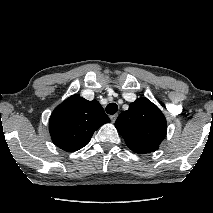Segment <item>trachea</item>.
Returning <instances> with one entry per match:
<instances>
[{
    "label": "trachea",
    "mask_w": 213,
    "mask_h": 213,
    "mask_svg": "<svg viewBox=\"0 0 213 213\" xmlns=\"http://www.w3.org/2000/svg\"><path fill=\"white\" fill-rule=\"evenodd\" d=\"M118 106L116 103H110L106 106V112L110 115H113L117 112Z\"/></svg>",
    "instance_id": "trachea-1"
}]
</instances>
